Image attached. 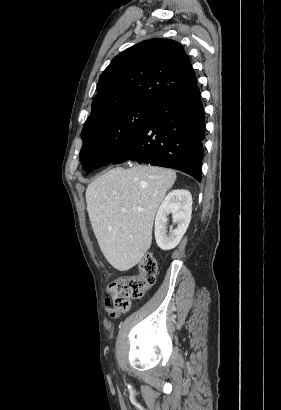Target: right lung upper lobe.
<instances>
[{
	"label": "right lung upper lobe",
	"instance_id": "cb5924a9",
	"mask_svg": "<svg viewBox=\"0 0 281 410\" xmlns=\"http://www.w3.org/2000/svg\"><path fill=\"white\" fill-rule=\"evenodd\" d=\"M196 87L195 72L181 44L169 39L146 40L117 55L100 75L88 119L108 108L157 107Z\"/></svg>",
	"mask_w": 281,
	"mask_h": 410
}]
</instances>
